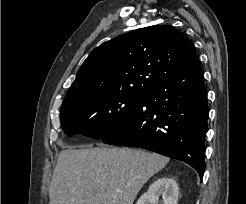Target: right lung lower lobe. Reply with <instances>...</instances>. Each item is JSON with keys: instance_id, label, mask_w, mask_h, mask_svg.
Segmentation results:
<instances>
[{"instance_id": "obj_1", "label": "right lung lower lobe", "mask_w": 246, "mask_h": 204, "mask_svg": "<svg viewBox=\"0 0 246 204\" xmlns=\"http://www.w3.org/2000/svg\"><path fill=\"white\" fill-rule=\"evenodd\" d=\"M207 118V92L197 60L143 92L125 122L101 140L181 160L202 178Z\"/></svg>"}]
</instances>
